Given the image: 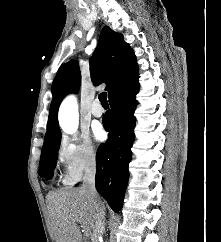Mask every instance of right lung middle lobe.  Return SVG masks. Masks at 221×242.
Returning <instances> with one entry per match:
<instances>
[{
	"label": "right lung middle lobe",
	"mask_w": 221,
	"mask_h": 242,
	"mask_svg": "<svg viewBox=\"0 0 221 242\" xmlns=\"http://www.w3.org/2000/svg\"><path fill=\"white\" fill-rule=\"evenodd\" d=\"M60 141L61 134L44 139L39 164V174L41 177H45L47 180L51 179L53 176V170L57 162Z\"/></svg>",
	"instance_id": "right-lung-middle-lobe-1"
}]
</instances>
